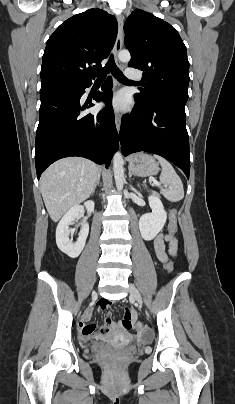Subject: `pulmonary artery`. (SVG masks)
<instances>
[{"instance_id":"obj_1","label":"pulmonary artery","mask_w":235,"mask_h":404,"mask_svg":"<svg viewBox=\"0 0 235 404\" xmlns=\"http://www.w3.org/2000/svg\"><path fill=\"white\" fill-rule=\"evenodd\" d=\"M126 75L129 79L137 80L140 78V73L134 68H129L126 70Z\"/></svg>"}]
</instances>
